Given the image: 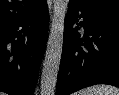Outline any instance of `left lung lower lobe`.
Here are the masks:
<instances>
[{"instance_id": "0a47b994", "label": "left lung lower lobe", "mask_w": 119, "mask_h": 95, "mask_svg": "<svg viewBox=\"0 0 119 95\" xmlns=\"http://www.w3.org/2000/svg\"><path fill=\"white\" fill-rule=\"evenodd\" d=\"M78 18L83 21L78 23ZM79 26L84 28L83 35ZM96 84L119 87V19L69 2L56 95Z\"/></svg>"}]
</instances>
